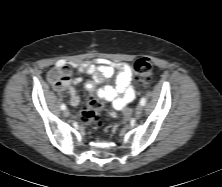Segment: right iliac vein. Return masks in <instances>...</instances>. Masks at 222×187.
<instances>
[{
    "label": "right iliac vein",
    "instance_id": "right-iliac-vein-1",
    "mask_svg": "<svg viewBox=\"0 0 222 187\" xmlns=\"http://www.w3.org/2000/svg\"><path fill=\"white\" fill-rule=\"evenodd\" d=\"M63 115L65 117H68L70 115V112L66 109V110H64Z\"/></svg>",
    "mask_w": 222,
    "mask_h": 187
}]
</instances>
